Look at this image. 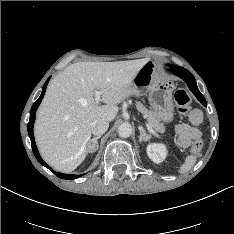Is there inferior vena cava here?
Wrapping results in <instances>:
<instances>
[{"label": "inferior vena cava", "mask_w": 234, "mask_h": 234, "mask_svg": "<svg viewBox=\"0 0 234 234\" xmlns=\"http://www.w3.org/2000/svg\"><path fill=\"white\" fill-rule=\"evenodd\" d=\"M108 127L109 122L107 120H96L91 124V132L93 135L100 136L107 131Z\"/></svg>", "instance_id": "inferior-vena-cava-1"}]
</instances>
